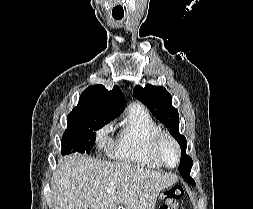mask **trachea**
<instances>
[{"mask_svg": "<svg viewBox=\"0 0 253 209\" xmlns=\"http://www.w3.org/2000/svg\"><path fill=\"white\" fill-rule=\"evenodd\" d=\"M115 19L120 20V19H122V17H116Z\"/></svg>", "mask_w": 253, "mask_h": 209, "instance_id": "3493384b", "label": "trachea"}]
</instances>
